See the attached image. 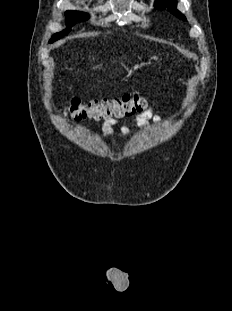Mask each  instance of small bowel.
I'll return each instance as SVG.
<instances>
[{
	"mask_svg": "<svg viewBox=\"0 0 232 311\" xmlns=\"http://www.w3.org/2000/svg\"><path fill=\"white\" fill-rule=\"evenodd\" d=\"M116 124H117L116 120L106 121L103 124L102 131H103L105 138H109L112 135L113 126ZM136 124L142 133H147L149 130V126L151 124L157 127H162L164 124V121L162 117L153 108H148L138 116L136 120ZM80 130L87 131L88 127L82 126ZM119 130H120L121 135L124 138H127L130 134L129 127L127 125H120Z\"/></svg>",
	"mask_w": 232,
	"mask_h": 311,
	"instance_id": "obj_1",
	"label": "small bowel"
}]
</instances>
